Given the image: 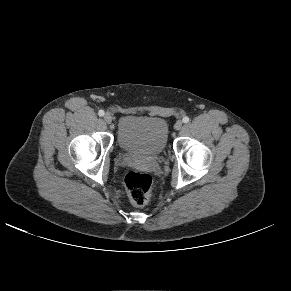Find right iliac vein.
<instances>
[{
    "label": "right iliac vein",
    "mask_w": 291,
    "mask_h": 291,
    "mask_svg": "<svg viewBox=\"0 0 291 291\" xmlns=\"http://www.w3.org/2000/svg\"><path fill=\"white\" fill-rule=\"evenodd\" d=\"M104 122L107 124H110L112 122V117L110 116V114H106L104 116Z\"/></svg>",
    "instance_id": "63e3f726"
}]
</instances>
